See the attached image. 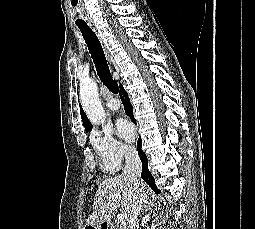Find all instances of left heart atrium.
Returning a JSON list of instances; mask_svg holds the SVG:
<instances>
[{"label": "left heart atrium", "instance_id": "39dd6f15", "mask_svg": "<svg viewBox=\"0 0 255 229\" xmlns=\"http://www.w3.org/2000/svg\"><path fill=\"white\" fill-rule=\"evenodd\" d=\"M117 134L126 141H132L135 137L133 125L124 118H119L116 122Z\"/></svg>", "mask_w": 255, "mask_h": 229}]
</instances>
